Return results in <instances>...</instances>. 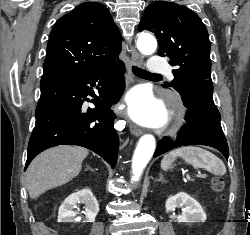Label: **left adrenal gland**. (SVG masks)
<instances>
[{
	"mask_svg": "<svg viewBox=\"0 0 250 235\" xmlns=\"http://www.w3.org/2000/svg\"><path fill=\"white\" fill-rule=\"evenodd\" d=\"M157 181L158 182H160V181L166 182V180H164L163 175L161 173L159 174V179Z\"/></svg>",
	"mask_w": 250,
	"mask_h": 235,
	"instance_id": "obj_1",
	"label": "left adrenal gland"
}]
</instances>
